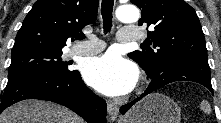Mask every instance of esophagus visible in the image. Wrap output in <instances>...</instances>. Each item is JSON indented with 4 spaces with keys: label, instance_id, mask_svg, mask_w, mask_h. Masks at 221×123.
<instances>
[{
    "label": "esophagus",
    "instance_id": "obj_1",
    "mask_svg": "<svg viewBox=\"0 0 221 123\" xmlns=\"http://www.w3.org/2000/svg\"><path fill=\"white\" fill-rule=\"evenodd\" d=\"M107 109H108V113H109L111 119L115 120L119 114L118 106L111 103V102H107Z\"/></svg>",
    "mask_w": 221,
    "mask_h": 123
}]
</instances>
